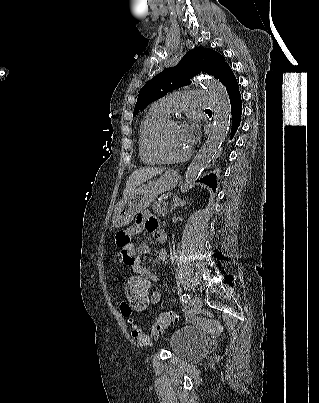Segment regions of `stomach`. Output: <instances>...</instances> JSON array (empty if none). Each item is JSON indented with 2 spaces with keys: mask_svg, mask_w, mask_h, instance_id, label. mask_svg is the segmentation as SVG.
I'll use <instances>...</instances> for the list:
<instances>
[{
  "mask_svg": "<svg viewBox=\"0 0 319 403\" xmlns=\"http://www.w3.org/2000/svg\"><path fill=\"white\" fill-rule=\"evenodd\" d=\"M179 175L167 171L159 179L135 188L129 196L115 207L112 225L116 228L128 225L136 214L146 209L160 194L173 189L178 183Z\"/></svg>",
  "mask_w": 319,
  "mask_h": 403,
  "instance_id": "1",
  "label": "stomach"
}]
</instances>
